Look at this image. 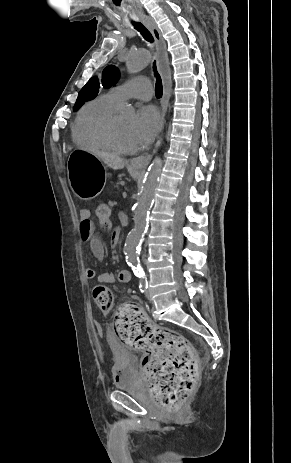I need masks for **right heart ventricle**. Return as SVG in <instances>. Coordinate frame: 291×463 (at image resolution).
Instances as JSON below:
<instances>
[{"mask_svg": "<svg viewBox=\"0 0 291 463\" xmlns=\"http://www.w3.org/2000/svg\"><path fill=\"white\" fill-rule=\"evenodd\" d=\"M118 106L110 92L87 102L79 110L72 126L74 143L89 150H111L101 130Z\"/></svg>", "mask_w": 291, "mask_h": 463, "instance_id": "right-heart-ventricle-1", "label": "right heart ventricle"}]
</instances>
